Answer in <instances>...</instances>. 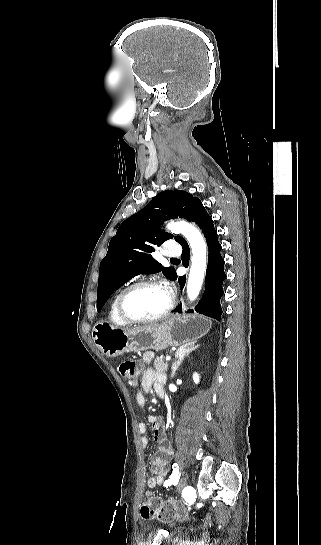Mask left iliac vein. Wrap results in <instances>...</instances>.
<instances>
[{"label":"left iliac vein","mask_w":321,"mask_h":545,"mask_svg":"<svg viewBox=\"0 0 321 545\" xmlns=\"http://www.w3.org/2000/svg\"><path fill=\"white\" fill-rule=\"evenodd\" d=\"M187 485V477L184 476L180 479V481L178 482L177 486H176V490L177 492H181Z\"/></svg>","instance_id":"1"}]
</instances>
